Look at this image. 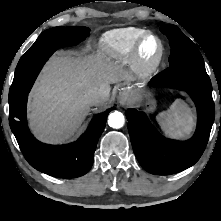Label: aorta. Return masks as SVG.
Listing matches in <instances>:
<instances>
[{"mask_svg":"<svg viewBox=\"0 0 221 221\" xmlns=\"http://www.w3.org/2000/svg\"><path fill=\"white\" fill-rule=\"evenodd\" d=\"M124 122V115L119 111H114L108 116V125L114 129L123 127Z\"/></svg>","mask_w":221,"mask_h":221,"instance_id":"aorta-1","label":"aorta"}]
</instances>
